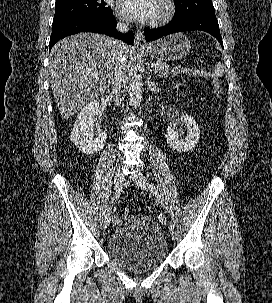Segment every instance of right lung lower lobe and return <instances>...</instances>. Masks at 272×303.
Wrapping results in <instances>:
<instances>
[{"label":"right lung lower lobe","instance_id":"obj_1","mask_svg":"<svg viewBox=\"0 0 272 303\" xmlns=\"http://www.w3.org/2000/svg\"><path fill=\"white\" fill-rule=\"evenodd\" d=\"M117 21L112 15H79L68 18L66 20L53 23V30L50 37L49 50L60 39L80 33V32H95L105 34L117 39H121L128 44H133L134 35L131 31L123 35L116 30Z\"/></svg>","mask_w":272,"mask_h":303}]
</instances>
